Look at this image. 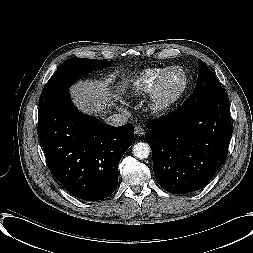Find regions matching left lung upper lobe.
<instances>
[{"label":"left lung upper lobe","mask_w":253,"mask_h":253,"mask_svg":"<svg viewBox=\"0 0 253 253\" xmlns=\"http://www.w3.org/2000/svg\"><path fill=\"white\" fill-rule=\"evenodd\" d=\"M198 67L199 73L197 84L190 97H195L200 102L204 103L210 100L218 92L224 90L212 71L200 59L198 60Z\"/></svg>","instance_id":"1"}]
</instances>
